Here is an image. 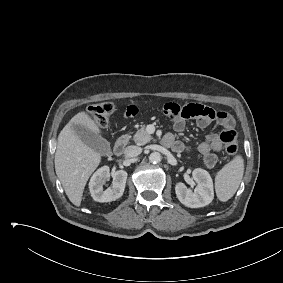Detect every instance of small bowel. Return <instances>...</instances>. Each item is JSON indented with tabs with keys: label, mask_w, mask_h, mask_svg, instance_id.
Instances as JSON below:
<instances>
[{
	"label": "small bowel",
	"mask_w": 283,
	"mask_h": 283,
	"mask_svg": "<svg viewBox=\"0 0 283 283\" xmlns=\"http://www.w3.org/2000/svg\"><path fill=\"white\" fill-rule=\"evenodd\" d=\"M140 110V104H131L127 107L125 116L133 117L137 115ZM163 111L165 115L170 118L173 130L176 133L184 131L185 122L188 119H195L197 126L201 129L207 128L212 123H217L224 129H232L235 125L232 116L225 111L214 110L197 103L180 106L175 102H166L163 104ZM163 143L176 152L189 150V148L183 142L177 140L172 133L164 137ZM221 150L222 143L216 133L208 134L207 140L200 143L198 146V152L201 155L202 161L208 168H213L216 165L218 158L215 153Z\"/></svg>",
	"instance_id": "small-bowel-1"
}]
</instances>
